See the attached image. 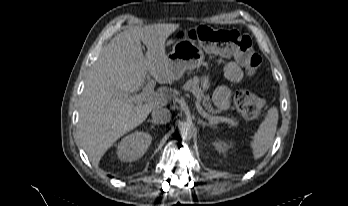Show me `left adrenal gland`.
<instances>
[{
  "label": "left adrenal gland",
  "instance_id": "obj_1",
  "mask_svg": "<svg viewBox=\"0 0 348 206\" xmlns=\"http://www.w3.org/2000/svg\"><path fill=\"white\" fill-rule=\"evenodd\" d=\"M198 124L202 125L203 128H205V126L214 127L211 123H207V122L201 120L200 118H198Z\"/></svg>",
  "mask_w": 348,
  "mask_h": 206
}]
</instances>
